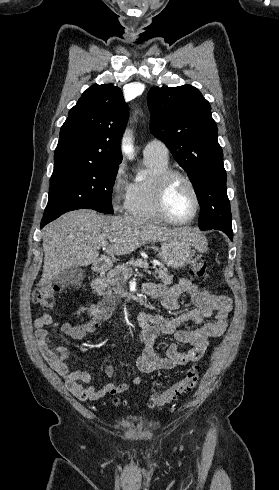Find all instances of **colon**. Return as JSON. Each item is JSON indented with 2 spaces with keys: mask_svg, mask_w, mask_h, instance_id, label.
I'll return each mask as SVG.
<instances>
[{
  "mask_svg": "<svg viewBox=\"0 0 279 490\" xmlns=\"http://www.w3.org/2000/svg\"><path fill=\"white\" fill-rule=\"evenodd\" d=\"M207 257L203 254L196 255L191 261V271L193 275L199 279L208 277ZM59 292V286L54 283L45 284L40 290L35 292L34 300L45 311L53 309L55 296ZM200 377V365L195 363L186 373V375L173 383L167 389L153 395L151 404L154 407H162L168 405L185 394L189 393L196 387ZM115 407H121L122 404L115 399L113 401Z\"/></svg>",
  "mask_w": 279,
  "mask_h": 490,
  "instance_id": "colon-1",
  "label": "colon"
}]
</instances>
